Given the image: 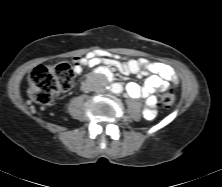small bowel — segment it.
I'll return each mask as SVG.
<instances>
[{
  "label": "small bowel",
  "mask_w": 222,
  "mask_h": 187,
  "mask_svg": "<svg viewBox=\"0 0 222 187\" xmlns=\"http://www.w3.org/2000/svg\"><path fill=\"white\" fill-rule=\"evenodd\" d=\"M106 66L109 72L114 70L123 75L134 74L138 78H145L142 85L129 83L127 92L133 98L145 100L144 115L148 119L156 116L157 98L156 91L166 90L170 84L177 85L179 80L174 69L161 62H152L146 59H130L122 61L118 56H108L100 52H92L73 61V69L76 74L82 72L83 67L96 68Z\"/></svg>",
  "instance_id": "small-bowel-1"
}]
</instances>
